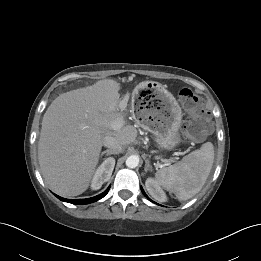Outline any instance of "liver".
<instances>
[{"label":"liver","mask_w":261,"mask_h":261,"mask_svg":"<svg viewBox=\"0 0 261 261\" xmlns=\"http://www.w3.org/2000/svg\"><path fill=\"white\" fill-rule=\"evenodd\" d=\"M119 83L104 79L59 95L42 120L38 159L46 184L61 196L85 192L99 162L103 140L133 143L137 130L126 125L120 108ZM121 109V110H120ZM120 121V130L110 124Z\"/></svg>","instance_id":"obj_1"}]
</instances>
